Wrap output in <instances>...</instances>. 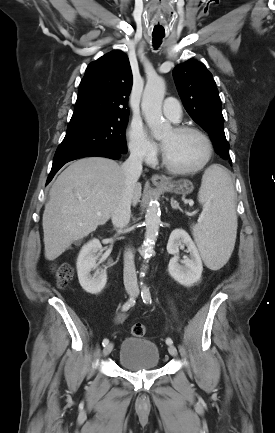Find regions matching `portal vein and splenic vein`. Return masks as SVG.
<instances>
[{
	"instance_id": "obj_1",
	"label": "portal vein and splenic vein",
	"mask_w": 275,
	"mask_h": 433,
	"mask_svg": "<svg viewBox=\"0 0 275 433\" xmlns=\"http://www.w3.org/2000/svg\"><path fill=\"white\" fill-rule=\"evenodd\" d=\"M201 220H202V217L199 219V222H201Z\"/></svg>"
}]
</instances>
